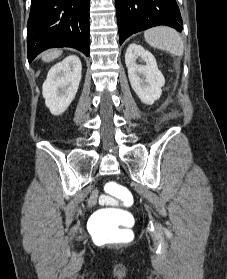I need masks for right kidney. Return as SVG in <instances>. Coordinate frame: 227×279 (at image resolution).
Returning a JSON list of instances; mask_svg holds the SVG:
<instances>
[{"label": "right kidney", "instance_id": "right-kidney-1", "mask_svg": "<svg viewBox=\"0 0 227 279\" xmlns=\"http://www.w3.org/2000/svg\"><path fill=\"white\" fill-rule=\"evenodd\" d=\"M81 72V61L76 55L66 57L49 70L42 93L53 115L64 113L75 98Z\"/></svg>", "mask_w": 227, "mask_h": 279}]
</instances>
